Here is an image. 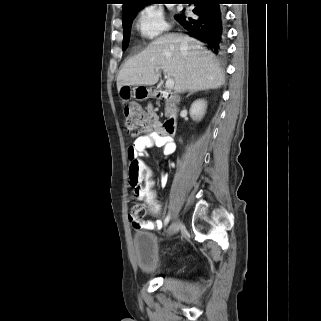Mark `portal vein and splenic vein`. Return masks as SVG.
I'll return each mask as SVG.
<instances>
[{
	"label": "portal vein and splenic vein",
	"instance_id": "obj_1",
	"mask_svg": "<svg viewBox=\"0 0 321 321\" xmlns=\"http://www.w3.org/2000/svg\"><path fill=\"white\" fill-rule=\"evenodd\" d=\"M165 86L167 89H172L174 87V80L171 78H168L166 80Z\"/></svg>",
	"mask_w": 321,
	"mask_h": 321
}]
</instances>
